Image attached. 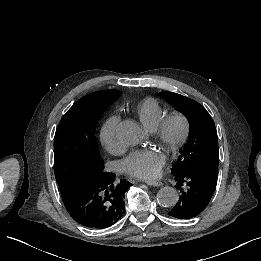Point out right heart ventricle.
Returning <instances> with one entry per match:
<instances>
[{
    "label": "right heart ventricle",
    "mask_w": 261,
    "mask_h": 261,
    "mask_svg": "<svg viewBox=\"0 0 261 261\" xmlns=\"http://www.w3.org/2000/svg\"><path fill=\"white\" fill-rule=\"evenodd\" d=\"M133 113L145 127H153L167 114V110L157 99L147 97L136 104Z\"/></svg>",
    "instance_id": "1"
}]
</instances>
